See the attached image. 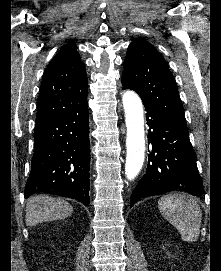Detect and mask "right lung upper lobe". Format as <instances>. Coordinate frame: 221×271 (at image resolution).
<instances>
[{
  "label": "right lung upper lobe",
  "mask_w": 221,
  "mask_h": 271,
  "mask_svg": "<svg viewBox=\"0 0 221 271\" xmlns=\"http://www.w3.org/2000/svg\"><path fill=\"white\" fill-rule=\"evenodd\" d=\"M85 65L74 43L65 44L44 71L37 103L36 123L48 121L87 106Z\"/></svg>",
  "instance_id": "1"
}]
</instances>
